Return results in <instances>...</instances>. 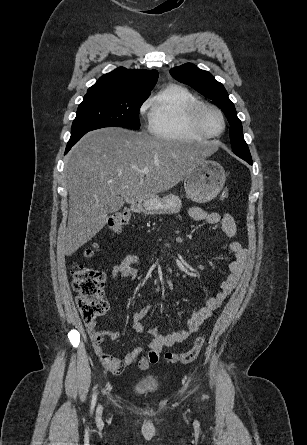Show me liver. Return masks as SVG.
<instances>
[{
  "mask_svg": "<svg viewBox=\"0 0 307 445\" xmlns=\"http://www.w3.org/2000/svg\"><path fill=\"white\" fill-rule=\"evenodd\" d=\"M204 152L192 142L162 140L117 126L87 132L66 164L69 212L63 255H73L107 225L108 212L120 208L117 198L134 202L170 190ZM141 168L149 172L143 174Z\"/></svg>",
  "mask_w": 307,
  "mask_h": 445,
  "instance_id": "obj_1",
  "label": "liver"
}]
</instances>
